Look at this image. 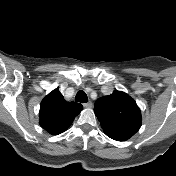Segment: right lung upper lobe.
<instances>
[{"label":"right lung upper lobe","instance_id":"obj_1","mask_svg":"<svg viewBox=\"0 0 176 176\" xmlns=\"http://www.w3.org/2000/svg\"><path fill=\"white\" fill-rule=\"evenodd\" d=\"M82 109L79 103L67 102L56 88L41 102L40 125L49 133L58 135L71 125Z\"/></svg>","mask_w":176,"mask_h":176}]
</instances>
